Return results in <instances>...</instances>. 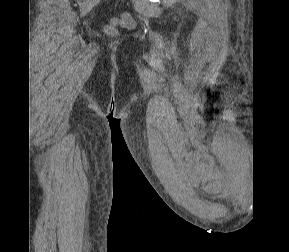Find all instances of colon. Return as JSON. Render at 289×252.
Returning a JSON list of instances; mask_svg holds the SVG:
<instances>
[{"label": "colon", "instance_id": "colon-1", "mask_svg": "<svg viewBox=\"0 0 289 252\" xmlns=\"http://www.w3.org/2000/svg\"><path fill=\"white\" fill-rule=\"evenodd\" d=\"M133 24V19L129 14H124L120 19L113 21V25H121L124 27H130ZM110 30H113V27H110Z\"/></svg>", "mask_w": 289, "mask_h": 252}]
</instances>
